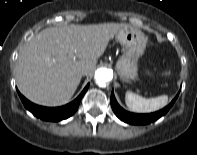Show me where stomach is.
<instances>
[{
    "label": "stomach",
    "instance_id": "obj_1",
    "mask_svg": "<svg viewBox=\"0 0 197 155\" xmlns=\"http://www.w3.org/2000/svg\"><path fill=\"white\" fill-rule=\"evenodd\" d=\"M123 46V56L117 61L116 69L123 81L134 80L138 76V59L144 54L147 38L144 33L132 27H123L116 33Z\"/></svg>",
    "mask_w": 197,
    "mask_h": 155
}]
</instances>
